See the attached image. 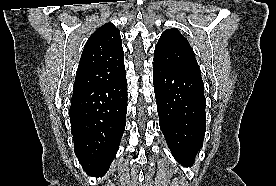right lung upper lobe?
<instances>
[{
    "label": "right lung upper lobe",
    "instance_id": "cb5924a9",
    "mask_svg": "<svg viewBox=\"0 0 276 186\" xmlns=\"http://www.w3.org/2000/svg\"><path fill=\"white\" fill-rule=\"evenodd\" d=\"M123 53L119 29L113 23L99 27L84 46L74 89L118 80L126 74Z\"/></svg>",
    "mask_w": 276,
    "mask_h": 186
}]
</instances>
